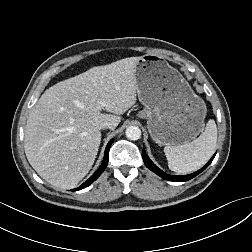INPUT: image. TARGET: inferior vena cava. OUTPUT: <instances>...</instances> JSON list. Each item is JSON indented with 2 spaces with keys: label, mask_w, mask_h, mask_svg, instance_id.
Wrapping results in <instances>:
<instances>
[{
  "label": "inferior vena cava",
  "mask_w": 252,
  "mask_h": 252,
  "mask_svg": "<svg viewBox=\"0 0 252 252\" xmlns=\"http://www.w3.org/2000/svg\"><path fill=\"white\" fill-rule=\"evenodd\" d=\"M100 129H103V128H109V129H113V124L108 122V121H105V122H102L99 126Z\"/></svg>",
  "instance_id": "1"
}]
</instances>
